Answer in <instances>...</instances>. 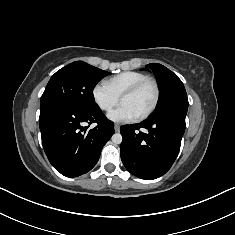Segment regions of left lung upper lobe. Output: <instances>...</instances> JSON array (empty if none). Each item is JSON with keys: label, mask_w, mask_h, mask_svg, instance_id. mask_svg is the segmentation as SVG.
I'll list each match as a JSON object with an SVG mask.
<instances>
[{"label": "left lung upper lobe", "mask_w": 235, "mask_h": 235, "mask_svg": "<svg viewBox=\"0 0 235 235\" xmlns=\"http://www.w3.org/2000/svg\"><path fill=\"white\" fill-rule=\"evenodd\" d=\"M146 67L154 72L160 88V98L156 110L150 117L169 112L186 114L189 104L187 94L177 75L158 63H151Z\"/></svg>", "instance_id": "left-lung-upper-lobe-1"}]
</instances>
